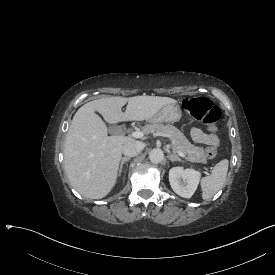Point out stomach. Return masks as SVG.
<instances>
[{
	"label": "stomach",
	"mask_w": 275,
	"mask_h": 275,
	"mask_svg": "<svg viewBox=\"0 0 275 275\" xmlns=\"http://www.w3.org/2000/svg\"><path fill=\"white\" fill-rule=\"evenodd\" d=\"M179 106L174 103L167 104L150 116L147 121L151 123L175 122L180 118Z\"/></svg>",
	"instance_id": "1"
}]
</instances>
